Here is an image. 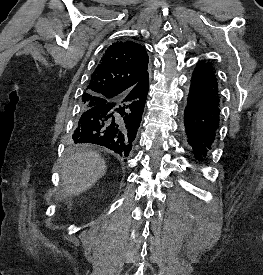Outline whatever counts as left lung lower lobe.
<instances>
[{
    "label": "left lung lower lobe",
    "mask_w": 263,
    "mask_h": 275,
    "mask_svg": "<svg viewBox=\"0 0 263 275\" xmlns=\"http://www.w3.org/2000/svg\"><path fill=\"white\" fill-rule=\"evenodd\" d=\"M220 94L214 68L199 61L192 74L184 128L194 160L202 164L219 127Z\"/></svg>",
    "instance_id": "obj_1"
}]
</instances>
